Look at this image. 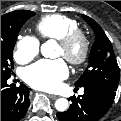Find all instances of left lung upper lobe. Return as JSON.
<instances>
[{
	"label": "left lung upper lobe",
	"instance_id": "obj_1",
	"mask_svg": "<svg viewBox=\"0 0 121 121\" xmlns=\"http://www.w3.org/2000/svg\"><path fill=\"white\" fill-rule=\"evenodd\" d=\"M82 17L94 30L95 42L91 48L89 65L75 86H100L116 91L120 72L112 44L98 23L86 15Z\"/></svg>",
	"mask_w": 121,
	"mask_h": 121
}]
</instances>
